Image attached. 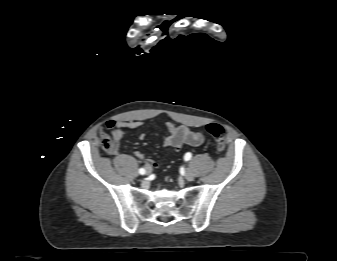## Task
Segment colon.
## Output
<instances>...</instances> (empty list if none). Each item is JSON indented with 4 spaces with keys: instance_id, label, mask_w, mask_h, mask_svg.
Returning <instances> with one entry per match:
<instances>
[{
    "instance_id": "colon-1",
    "label": "colon",
    "mask_w": 337,
    "mask_h": 261,
    "mask_svg": "<svg viewBox=\"0 0 337 261\" xmlns=\"http://www.w3.org/2000/svg\"><path fill=\"white\" fill-rule=\"evenodd\" d=\"M206 130L215 139L218 152L222 153L226 145L224 128L220 124L210 123L206 126ZM100 144L107 152L113 150L114 142L105 134L101 135Z\"/></svg>"
}]
</instances>
